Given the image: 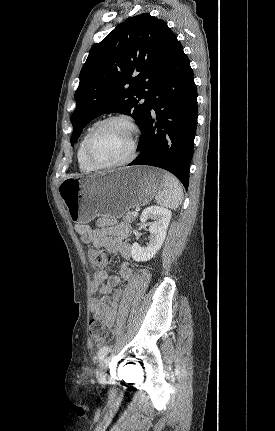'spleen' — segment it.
<instances>
[{
  "label": "spleen",
  "instance_id": "obj_1",
  "mask_svg": "<svg viewBox=\"0 0 275 431\" xmlns=\"http://www.w3.org/2000/svg\"><path fill=\"white\" fill-rule=\"evenodd\" d=\"M155 200L161 206L177 209L183 200V190L179 181L171 174L163 176V188L156 194Z\"/></svg>",
  "mask_w": 275,
  "mask_h": 431
}]
</instances>
